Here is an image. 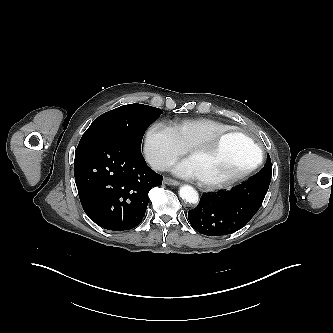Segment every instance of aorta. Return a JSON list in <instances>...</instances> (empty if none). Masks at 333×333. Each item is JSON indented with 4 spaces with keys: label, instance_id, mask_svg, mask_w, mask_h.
I'll return each mask as SVG.
<instances>
[{
    "label": "aorta",
    "instance_id": "obj_1",
    "mask_svg": "<svg viewBox=\"0 0 333 333\" xmlns=\"http://www.w3.org/2000/svg\"><path fill=\"white\" fill-rule=\"evenodd\" d=\"M180 197L189 203H197L199 199L198 192L190 185H183L179 191Z\"/></svg>",
    "mask_w": 333,
    "mask_h": 333
}]
</instances>
